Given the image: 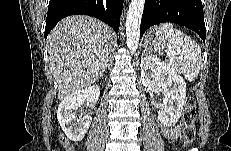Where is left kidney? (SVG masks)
Wrapping results in <instances>:
<instances>
[{
  "label": "left kidney",
  "instance_id": "1",
  "mask_svg": "<svg viewBox=\"0 0 231 151\" xmlns=\"http://www.w3.org/2000/svg\"><path fill=\"white\" fill-rule=\"evenodd\" d=\"M141 80L146 87L159 85L164 95L158 120L166 127L175 126L186 104V83L168 64L146 56L141 58Z\"/></svg>",
  "mask_w": 231,
  "mask_h": 151
}]
</instances>
